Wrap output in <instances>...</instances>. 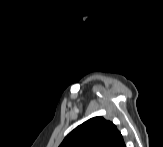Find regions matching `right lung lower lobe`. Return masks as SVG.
<instances>
[{"instance_id": "right-lung-lower-lobe-1", "label": "right lung lower lobe", "mask_w": 163, "mask_h": 147, "mask_svg": "<svg viewBox=\"0 0 163 147\" xmlns=\"http://www.w3.org/2000/svg\"><path fill=\"white\" fill-rule=\"evenodd\" d=\"M115 147H125L124 140L120 141Z\"/></svg>"}]
</instances>
